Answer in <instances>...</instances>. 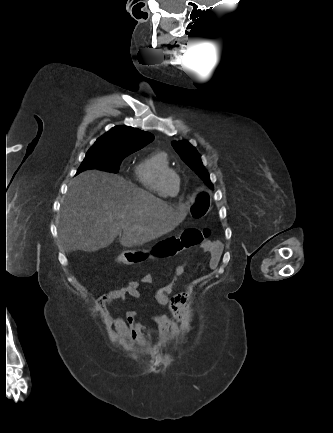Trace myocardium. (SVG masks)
Returning a JSON list of instances; mask_svg holds the SVG:
<instances>
[{
    "instance_id": "myocardium-1",
    "label": "myocardium",
    "mask_w": 333,
    "mask_h": 433,
    "mask_svg": "<svg viewBox=\"0 0 333 433\" xmlns=\"http://www.w3.org/2000/svg\"><path fill=\"white\" fill-rule=\"evenodd\" d=\"M171 175L175 176L177 181L180 179L179 174L175 170H173L172 168L165 170L160 177L161 186H162L164 192L169 196L174 194V193H170L166 187V180Z\"/></svg>"
}]
</instances>
